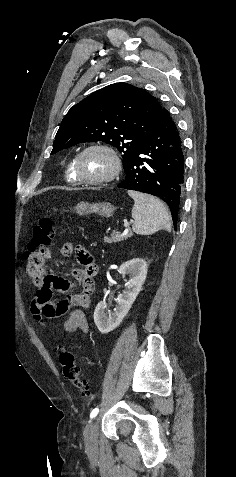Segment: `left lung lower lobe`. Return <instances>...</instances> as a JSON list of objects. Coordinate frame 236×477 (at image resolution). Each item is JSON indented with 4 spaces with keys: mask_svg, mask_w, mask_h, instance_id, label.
Wrapping results in <instances>:
<instances>
[{
    "mask_svg": "<svg viewBox=\"0 0 236 477\" xmlns=\"http://www.w3.org/2000/svg\"><path fill=\"white\" fill-rule=\"evenodd\" d=\"M184 156L170 113L163 109L150 135L133 155L120 188L148 193L164 200L176 228L184 184Z\"/></svg>",
    "mask_w": 236,
    "mask_h": 477,
    "instance_id": "1",
    "label": "left lung lower lobe"
}]
</instances>
